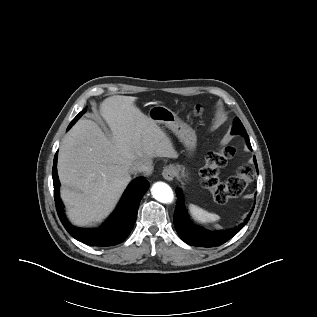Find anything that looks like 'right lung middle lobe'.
<instances>
[{
  "label": "right lung middle lobe",
  "instance_id": "right-lung-middle-lobe-1",
  "mask_svg": "<svg viewBox=\"0 0 317 317\" xmlns=\"http://www.w3.org/2000/svg\"><path fill=\"white\" fill-rule=\"evenodd\" d=\"M85 112H86V109L82 110V111L73 119V121H77ZM73 121H72V122H73ZM72 122L70 123V125L68 126V128H70V127L73 125Z\"/></svg>",
  "mask_w": 317,
  "mask_h": 317
}]
</instances>
